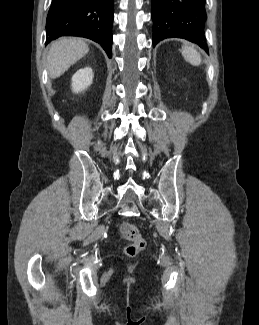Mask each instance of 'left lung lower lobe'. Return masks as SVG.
Instances as JSON below:
<instances>
[{
    "label": "left lung lower lobe",
    "mask_w": 259,
    "mask_h": 325,
    "mask_svg": "<svg viewBox=\"0 0 259 325\" xmlns=\"http://www.w3.org/2000/svg\"><path fill=\"white\" fill-rule=\"evenodd\" d=\"M206 0H152L153 45L178 37L208 52L204 35Z\"/></svg>",
    "instance_id": "0a47b994"
}]
</instances>
